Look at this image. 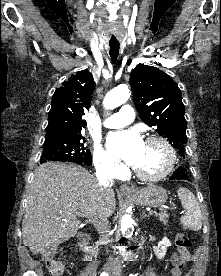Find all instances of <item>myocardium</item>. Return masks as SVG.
Segmentation results:
<instances>
[{
    "label": "myocardium",
    "mask_w": 221,
    "mask_h": 276,
    "mask_svg": "<svg viewBox=\"0 0 221 276\" xmlns=\"http://www.w3.org/2000/svg\"><path fill=\"white\" fill-rule=\"evenodd\" d=\"M157 142L162 145L167 155V162L163 170L155 174H147L136 167L134 168V172L138 178L144 181H158L165 177H167L174 169L176 164V152L171 143L164 137L160 135H150L146 138L145 143Z\"/></svg>",
    "instance_id": "f54148a6"
}]
</instances>
